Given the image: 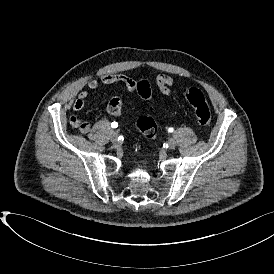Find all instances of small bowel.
I'll use <instances>...</instances> for the list:
<instances>
[{
  "label": "small bowel",
  "mask_w": 274,
  "mask_h": 274,
  "mask_svg": "<svg viewBox=\"0 0 274 274\" xmlns=\"http://www.w3.org/2000/svg\"><path fill=\"white\" fill-rule=\"evenodd\" d=\"M133 79L129 78L123 74L108 73L103 74L99 79L92 78L87 82L88 90H97L100 86L103 85H114V84H123L125 85L127 91L132 92L135 90ZM156 85L159 91L167 97H170L172 94V88L174 87V79L168 74H160L156 78ZM84 89L81 90L75 101L73 102L72 108L74 111H81L87 101L89 100V91ZM70 124L77 128L81 133L86 134L91 130V123L88 121H83L76 116L70 117Z\"/></svg>",
  "instance_id": "small-bowel-1"
}]
</instances>
